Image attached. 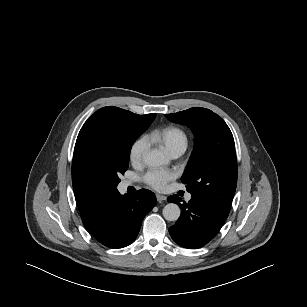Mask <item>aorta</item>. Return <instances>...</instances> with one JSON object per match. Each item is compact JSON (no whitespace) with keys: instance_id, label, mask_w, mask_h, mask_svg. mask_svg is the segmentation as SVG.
Instances as JSON below:
<instances>
[{"instance_id":"aorta-1","label":"aorta","mask_w":307,"mask_h":307,"mask_svg":"<svg viewBox=\"0 0 307 307\" xmlns=\"http://www.w3.org/2000/svg\"><path fill=\"white\" fill-rule=\"evenodd\" d=\"M144 162L150 167H158L166 164L168 160L161 151L154 149L146 153ZM180 215L181 210L177 204L168 203L163 208V216L167 221H176L179 219Z\"/></svg>"}]
</instances>
